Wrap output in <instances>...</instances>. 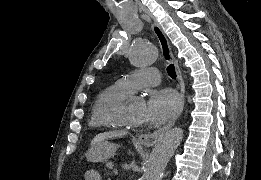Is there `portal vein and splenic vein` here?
<instances>
[{
	"label": "portal vein and splenic vein",
	"instance_id": "obj_1",
	"mask_svg": "<svg viewBox=\"0 0 261 180\" xmlns=\"http://www.w3.org/2000/svg\"><path fill=\"white\" fill-rule=\"evenodd\" d=\"M112 174H113V175H119V174H120V171H119V170H113V171H112Z\"/></svg>",
	"mask_w": 261,
	"mask_h": 180
}]
</instances>
